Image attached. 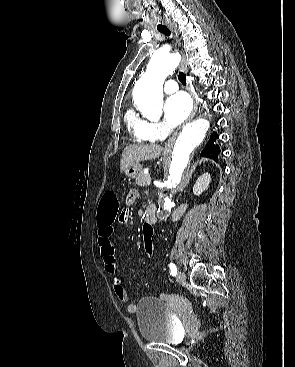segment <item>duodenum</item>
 Here are the masks:
<instances>
[{"instance_id":"1","label":"duodenum","mask_w":295,"mask_h":367,"mask_svg":"<svg viewBox=\"0 0 295 367\" xmlns=\"http://www.w3.org/2000/svg\"><path fill=\"white\" fill-rule=\"evenodd\" d=\"M156 219V206L154 204L149 205L145 212V221L153 224Z\"/></svg>"}]
</instances>
